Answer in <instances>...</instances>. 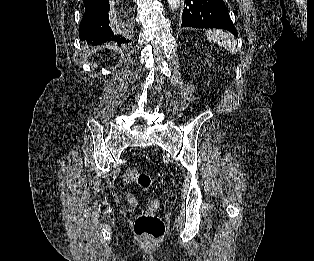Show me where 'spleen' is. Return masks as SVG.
I'll return each instance as SVG.
<instances>
[{"label":"spleen","instance_id":"3e777b00","mask_svg":"<svg viewBox=\"0 0 314 261\" xmlns=\"http://www.w3.org/2000/svg\"><path fill=\"white\" fill-rule=\"evenodd\" d=\"M206 36L209 40L225 48L227 51L231 52L232 54L237 53L238 51L237 43L231 34L221 31V30L210 29L206 32Z\"/></svg>","mask_w":314,"mask_h":261}]
</instances>
